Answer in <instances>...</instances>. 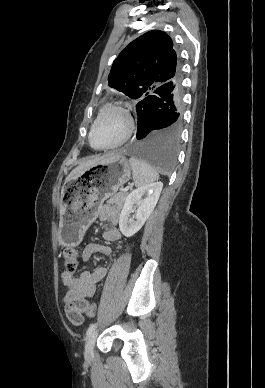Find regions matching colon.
<instances>
[{"mask_svg":"<svg viewBox=\"0 0 265 388\" xmlns=\"http://www.w3.org/2000/svg\"><path fill=\"white\" fill-rule=\"evenodd\" d=\"M64 265L67 271L74 272L78 267V253L74 248H67L64 252ZM85 313L88 316H95L96 314V305L91 303L86 309Z\"/></svg>","mask_w":265,"mask_h":388,"instance_id":"colon-1","label":"colon"}]
</instances>
